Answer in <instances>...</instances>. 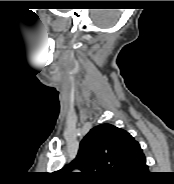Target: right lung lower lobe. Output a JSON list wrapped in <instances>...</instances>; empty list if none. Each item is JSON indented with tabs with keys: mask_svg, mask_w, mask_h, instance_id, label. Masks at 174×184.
<instances>
[{
	"mask_svg": "<svg viewBox=\"0 0 174 184\" xmlns=\"http://www.w3.org/2000/svg\"><path fill=\"white\" fill-rule=\"evenodd\" d=\"M150 172L146 165L145 157L141 159L126 176L118 181V184H143Z\"/></svg>",
	"mask_w": 174,
	"mask_h": 184,
	"instance_id": "right-lung-lower-lobe-1",
	"label": "right lung lower lobe"
}]
</instances>
